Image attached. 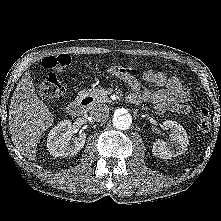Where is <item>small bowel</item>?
I'll list each match as a JSON object with an SVG mask.
<instances>
[{
	"mask_svg": "<svg viewBox=\"0 0 221 221\" xmlns=\"http://www.w3.org/2000/svg\"><path fill=\"white\" fill-rule=\"evenodd\" d=\"M107 73L118 77L131 87L132 92L128 96V101L132 104L145 101L152 103L159 112L172 111L179 114L190 112L189 92L176 77H167L162 72L150 74V71H145L143 79L161 88L141 92L139 81L125 68L112 66L107 69Z\"/></svg>",
	"mask_w": 221,
	"mask_h": 221,
	"instance_id": "c3829d8e",
	"label": "small bowel"
}]
</instances>
